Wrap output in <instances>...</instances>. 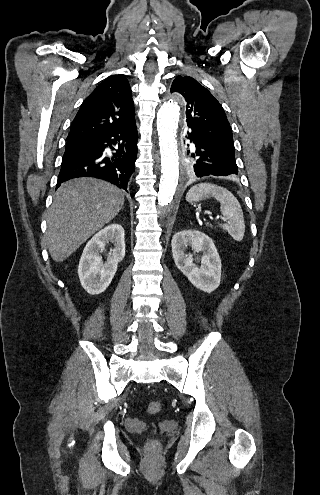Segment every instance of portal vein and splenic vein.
Masks as SVG:
<instances>
[{
    "label": "portal vein and splenic vein",
    "instance_id": "obj_1",
    "mask_svg": "<svg viewBox=\"0 0 320 495\" xmlns=\"http://www.w3.org/2000/svg\"><path fill=\"white\" fill-rule=\"evenodd\" d=\"M209 218H210L211 220H213V219H214V220H218V219H219V217L213 218L211 215L209 216ZM222 219H224V218H222ZM224 220H225V219H224Z\"/></svg>",
    "mask_w": 320,
    "mask_h": 495
}]
</instances>
